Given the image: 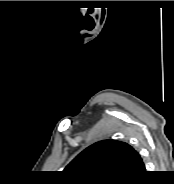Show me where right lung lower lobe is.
<instances>
[{"instance_id":"obj_1","label":"right lung lower lobe","mask_w":174,"mask_h":184,"mask_svg":"<svg viewBox=\"0 0 174 184\" xmlns=\"http://www.w3.org/2000/svg\"><path fill=\"white\" fill-rule=\"evenodd\" d=\"M146 173V171H144L140 176H138L137 178H134L132 180H129V181H125L123 182L122 184H138L140 183V179L141 177Z\"/></svg>"}]
</instances>
